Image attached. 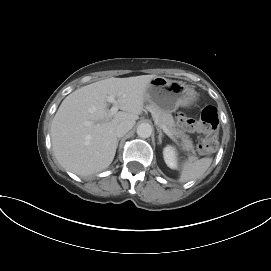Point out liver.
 Returning a JSON list of instances; mask_svg holds the SVG:
<instances>
[{"label": "liver", "mask_w": 271, "mask_h": 271, "mask_svg": "<svg viewBox=\"0 0 271 271\" xmlns=\"http://www.w3.org/2000/svg\"><path fill=\"white\" fill-rule=\"evenodd\" d=\"M156 75L108 78L69 94L51 124L56 159L66 170L88 176L112 163L118 140L116 127L123 121L135 124L143 111L145 92ZM114 95L122 110L110 116L107 96Z\"/></svg>", "instance_id": "6515ba94"}]
</instances>
